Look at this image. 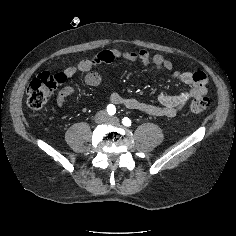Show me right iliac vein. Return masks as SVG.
Returning <instances> with one entry per match:
<instances>
[{
    "instance_id": "1",
    "label": "right iliac vein",
    "mask_w": 236,
    "mask_h": 236,
    "mask_svg": "<svg viewBox=\"0 0 236 236\" xmlns=\"http://www.w3.org/2000/svg\"><path fill=\"white\" fill-rule=\"evenodd\" d=\"M95 119H96V121H97L98 123H101V122L105 121V119H106V113L103 112V111H102V112H99V113L96 115Z\"/></svg>"
}]
</instances>
